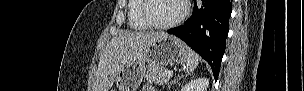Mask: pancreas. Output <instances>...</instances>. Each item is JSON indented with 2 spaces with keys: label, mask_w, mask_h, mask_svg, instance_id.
I'll return each mask as SVG.
<instances>
[{
  "label": "pancreas",
  "mask_w": 304,
  "mask_h": 91,
  "mask_svg": "<svg viewBox=\"0 0 304 91\" xmlns=\"http://www.w3.org/2000/svg\"><path fill=\"white\" fill-rule=\"evenodd\" d=\"M167 70L163 67H149L146 71V81L150 84H160L163 85L168 82Z\"/></svg>",
  "instance_id": "obj_1"
}]
</instances>
